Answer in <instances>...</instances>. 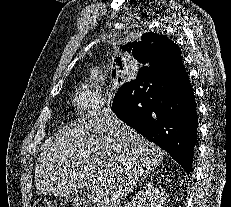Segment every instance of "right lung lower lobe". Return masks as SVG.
Instances as JSON below:
<instances>
[{"label": "right lung lower lobe", "mask_w": 231, "mask_h": 207, "mask_svg": "<svg viewBox=\"0 0 231 207\" xmlns=\"http://www.w3.org/2000/svg\"><path fill=\"white\" fill-rule=\"evenodd\" d=\"M111 109L190 174L198 116L184 65L173 70L159 65L141 67L137 78L117 91Z\"/></svg>", "instance_id": "right-lung-lower-lobe-1"}]
</instances>
